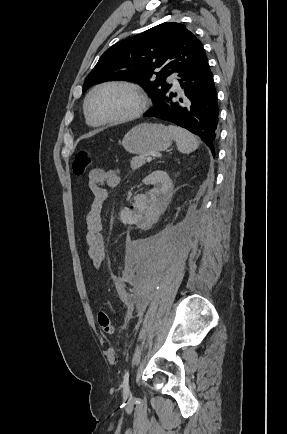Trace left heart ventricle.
I'll return each instance as SVG.
<instances>
[{
    "instance_id": "b2bd125f",
    "label": "left heart ventricle",
    "mask_w": 287,
    "mask_h": 434,
    "mask_svg": "<svg viewBox=\"0 0 287 434\" xmlns=\"http://www.w3.org/2000/svg\"><path fill=\"white\" fill-rule=\"evenodd\" d=\"M138 102L132 91L120 86H107L93 94L89 108L96 119H116L132 113Z\"/></svg>"
}]
</instances>
